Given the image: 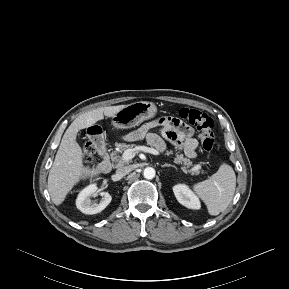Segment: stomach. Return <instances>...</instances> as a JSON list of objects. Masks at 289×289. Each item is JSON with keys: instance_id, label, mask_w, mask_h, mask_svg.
<instances>
[{"instance_id": "stomach-1", "label": "stomach", "mask_w": 289, "mask_h": 289, "mask_svg": "<svg viewBox=\"0 0 289 289\" xmlns=\"http://www.w3.org/2000/svg\"><path fill=\"white\" fill-rule=\"evenodd\" d=\"M157 108L149 101H139L126 105L112 117L115 128H132L145 120L155 117Z\"/></svg>"}]
</instances>
